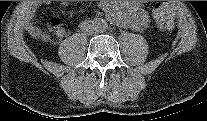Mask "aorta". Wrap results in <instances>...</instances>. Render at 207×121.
<instances>
[{
  "mask_svg": "<svg viewBox=\"0 0 207 121\" xmlns=\"http://www.w3.org/2000/svg\"><path fill=\"white\" fill-rule=\"evenodd\" d=\"M134 1L130 2H123V1H113L112 5L109 7V18L113 24L123 27V28H129L131 27L133 23L132 19V9L134 8L135 3H132ZM96 30L99 32H104L105 28V22L104 21H98L96 22Z\"/></svg>",
  "mask_w": 207,
  "mask_h": 121,
  "instance_id": "1",
  "label": "aorta"
}]
</instances>
